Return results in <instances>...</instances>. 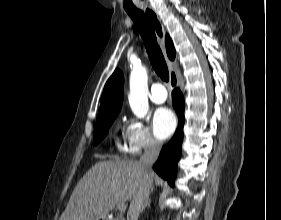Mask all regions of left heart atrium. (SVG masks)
<instances>
[{
    "label": "left heart atrium",
    "mask_w": 281,
    "mask_h": 220,
    "mask_svg": "<svg viewBox=\"0 0 281 220\" xmlns=\"http://www.w3.org/2000/svg\"><path fill=\"white\" fill-rule=\"evenodd\" d=\"M152 126L155 135L159 139H166L175 130V116L170 109L166 107L159 108L155 111L153 115Z\"/></svg>",
    "instance_id": "39dd6f15"
}]
</instances>
